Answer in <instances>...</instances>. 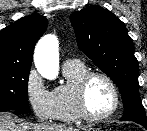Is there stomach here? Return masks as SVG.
I'll use <instances>...</instances> for the list:
<instances>
[{"mask_svg":"<svg viewBox=\"0 0 147 131\" xmlns=\"http://www.w3.org/2000/svg\"><path fill=\"white\" fill-rule=\"evenodd\" d=\"M83 131H100L97 128H85Z\"/></svg>","mask_w":147,"mask_h":131,"instance_id":"stomach-1","label":"stomach"}]
</instances>
